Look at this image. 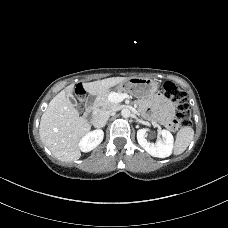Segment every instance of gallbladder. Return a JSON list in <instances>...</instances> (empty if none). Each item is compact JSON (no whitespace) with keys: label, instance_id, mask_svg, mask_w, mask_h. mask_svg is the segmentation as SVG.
Wrapping results in <instances>:
<instances>
[{"label":"gallbladder","instance_id":"1","mask_svg":"<svg viewBox=\"0 0 228 228\" xmlns=\"http://www.w3.org/2000/svg\"><path fill=\"white\" fill-rule=\"evenodd\" d=\"M69 99H70L72 102L76 103V99L74 98L73 95H70V96H69Z\"/></svg>","mask_w":228,"mask_h":228}]
</instances>
